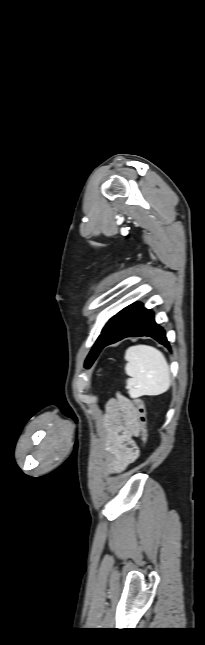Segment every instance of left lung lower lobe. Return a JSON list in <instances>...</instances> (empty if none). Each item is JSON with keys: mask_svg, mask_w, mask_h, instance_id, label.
<instances>
[{"mask_svg": "<svg viewBox=\"0 0 205 645\" xmlns=\"http://www.w3.org/2000/svg\"><path fill=\"white\" fill-rule=\"evenodd\" d=\"M138 336L152 337L160 344L170 348L164 329L154 321L153 311L144 308L142 303L136 302L127 306L110 319L98 354L109 344L126 337Z\"/></svg>", "mask_w": 205, "mask_h": 645, "instance_id": "left-lung-lower-lobe-1", "label": "left lung lower lobe"}]
</instances>
